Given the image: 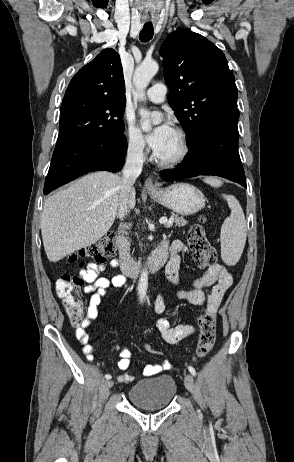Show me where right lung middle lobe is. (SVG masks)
I'll return each mask as SVG.
<instances>
[{
  "label": "right lung middle lobe",
  "instance_id": "obj_1",
  "mask_svg": "<svg viewBox=\"0 0 294 462\" xmlns=\"http://www.w3.org/2000/svg\"><path fill=\"white\" fill-rule=\"evenodd\" d=\"M126 99L75 98L63 101L57 143L78 137L124 133Z\"/></svg>",
  "mask_w": 294,
  "mask_h": 462
}]
</instances>
